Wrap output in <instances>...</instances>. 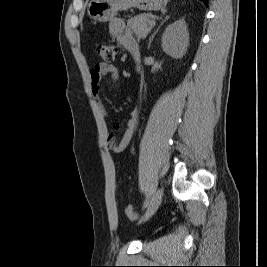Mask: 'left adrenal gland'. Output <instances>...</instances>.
Returning <instances> with one entry per match:
<instances>
[{
	"label": "left adrenal gland",
	"instance_id": "a2214340",
	"mask_svg": "<svg viewBox=\"0 0 267 267\" xmlns=\"http://www.w3.org/2000/svg\"><path fill=\"white\" fill-rule=\"evenodd\" d=\"M170 18V16H166L160 23V25L157 27V29L154 31V33L151 35V37L149 38V43H148V49H150L151 43L153 41V38L155 37V35L157 34V32L159 31V29L161 28V26Z\"/></svg>",
	"mask_w": 267,
	"mask_h": 267
}]
</instances>
